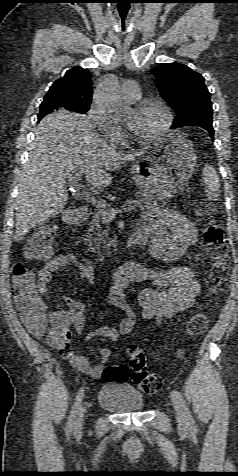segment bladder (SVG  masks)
Segmentation results:
<instances>
[{"label": "bladder", "mask_w": 238, "mask_h": 476, "mask_svg": "<svg viewBox=\"0 0 238 476\" xmlns=\"http://www.w3.org/2000/svg\"><path fill=\"white\" fill-rule=\"evenodd\" d=\"M99 405L116 413H132L144 408L142 393L123 383L111 382L105 384L98 394Z\"/></svg>", "instance_id": "1"}]
</instances>
